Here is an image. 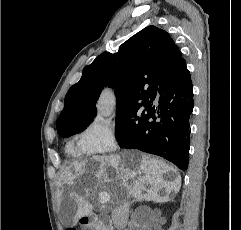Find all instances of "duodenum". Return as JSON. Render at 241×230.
Wrapping results in <instances>:
<instances>
[{
  "label": "duodenum",
  "mask_w": 241,
  "mask_h": 230,
  "mask_svg": "<svg viewBox=\"0 0 241 230\" xmlns=\"http://www.w3.org/2000/svg\"><path fill=\"white\" fill-rule=\"evenodd\" d=\"M99 221H100L99 218L95 215H84L80 219L81 225L87 228L96 227Z\"/></svg>",
  "instance_id": "duodenum-1"
}]
</instances>
